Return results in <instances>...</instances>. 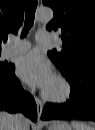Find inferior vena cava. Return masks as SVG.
<instances>
[{
	"label": "inferior vena cava",
	"mask_w": 95,
	"mask_h": 130,
	"mask_svg": "<svg viewBox=\"0 0 95 130\" xmlns=\"http://www.w3.org/2000/svg\"><path fill=\"white\" fill-rule=\"evenodd\" d=\"M24 117L22 114L17 113L13 115V122H14V130H21V123Z\"/></svg>",
	"instance_id": "602c4592"
}]
</instances>
